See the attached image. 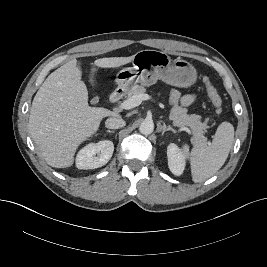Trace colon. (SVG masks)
Segmentation results:
<instances>
[{
    "label": "colon",
    "mask_w": 267,
    "mask_h": 267,
    "mask_svg": "<svg viewBox=\"0 0 267 267\" xmlns=\"http://www.w3.org/2000/svg\"><path fill=\"white\" fill-rule=\"evenodd\" d=\"M207 88V94L216 109V111L219 113L222 111V98L219 95L217 89L210 83V81L206 78L204 80Z\"/></svg>",
    "instance_id": "colon-1"
}]
</instances>
